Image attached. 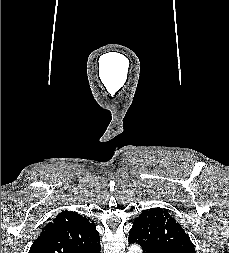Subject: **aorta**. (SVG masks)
<instances>
[{
  "mask_svg": "<svg viewBox=\"0 0 229 253\" xmlns=\"http://www.w3.org/2000/svg\"><path fill=\"white\" fill-rule=\"evenodd\" d=\"M128 253H142V249L139 245L133 244L130 246Z\"/></svg>",
  "mask_w": 229,
  "mask_h": 253,
  "instance_id": "aorta-1",
  "label": "aorta"
}]
</instances>
